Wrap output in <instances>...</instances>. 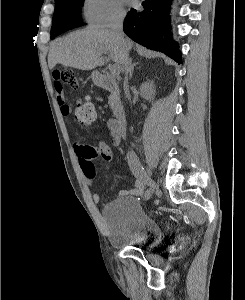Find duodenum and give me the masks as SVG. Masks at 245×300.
Returning <instances> with one entry per match:
<instances>
[{"label":"duodenum","instance_id":"obj_1","mask_svg":"<svg viewBox=\"0 0 245 300\" xmlns=\"http://www.w3.org/2000/svg\"><path fill=\"white\" fill-rule=\"evenodd\" d=\"M95 80L98 86L110 91L113 94L112 112L119 125L126 129L127 118L126 112L119 100V90L116 82L108 75L102 73L95 74Z\"/></svg>","mask_w":245,"mask_h":300}]
</instances>
